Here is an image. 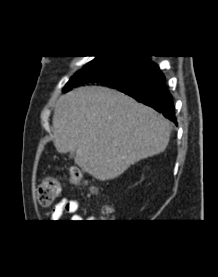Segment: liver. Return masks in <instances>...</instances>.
Returning a JSON list of instances; mask_svg holds the SVG:
<instances>
[{"label":"liver","mask_w":218,"mask_h":277,"mask_svg":"<svg viewBox=\"0 0 218 277\" xmlns=\"http://www.w3.org/2000/svg\"><path fill=\"white\" fill-rule=\"evenodd\" d=\"M52 123L57 151L75 152V163L100 181L163 152L170 137V122L158 112L101 86L62 95Z\"/></svg>","instance_id":"6515ba94"}]
</instances>
